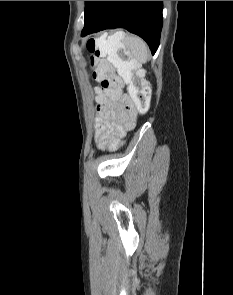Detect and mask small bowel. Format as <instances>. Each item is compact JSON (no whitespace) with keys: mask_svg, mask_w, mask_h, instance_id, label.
Listing matches in <instances>:
<instances>
[{"mask_svg":"<svg viewBox=\"0 0 233 295\" xmlns=\"http://www.w3.org/2000/svg\"><path fill=\"white\" fill-rule=\"evenodd\" d=\"M95 141L99 148L116 147L136 123L135 105L129 95L101 94L96 98Z\"/></svg>","mask_w":233,"mask_h":295,"instance_id":"obj_1","label":"small bowel"}]
</instances>
